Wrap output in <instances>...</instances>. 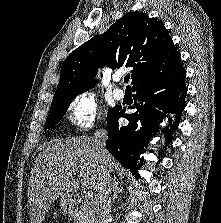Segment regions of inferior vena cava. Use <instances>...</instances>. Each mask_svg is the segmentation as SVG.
I'll list each match as a JSON object with an SVG mask.
<instances>
[{
    "label": "inferior vena cava",
    "instance_id": "1",
    "mask_svg": "<svg viewBox=\"0 0 221 223\" xmlns=\"http://www.w3.org/2000/svg\"><path fill=\"white\" fill-rule=\"evenodd\" d=\"M108 133L104 129H98L94 133L93 141L100 159V181L98 193V220L99 223H108L111 218V176L107 162V150L105 147Z\"/></svg>",
    "mask_w": 221,
    "mask_h": 223
}]
</instances>
